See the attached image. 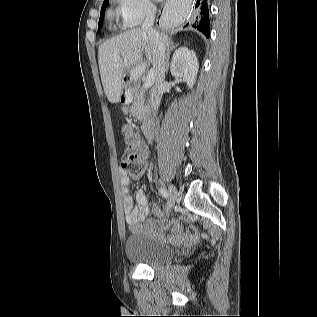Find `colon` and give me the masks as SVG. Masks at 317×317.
<instances>
[{
    "mask_svg": "<svg viewBox=\"0 0 317 317\" xmlns=\"http://www.w3.org/2000/svg\"><path fill=\"white\" fill-rule=\"evenodd\" d=\"M126 151L121 159V166L131 178H138L143 172V159L141 155L140 142L129 130L124 129Z\"/></svg>",
    "mask_w": 317,
    "mask_h": 317,
    "instance_id": "obj_1",
    "label": "colon"
}]
</instances>
